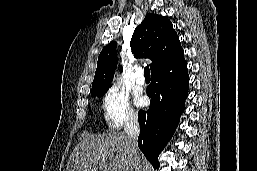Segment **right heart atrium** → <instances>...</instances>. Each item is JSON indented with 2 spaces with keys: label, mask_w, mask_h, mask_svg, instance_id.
<instances>
[{
  "label": "right heart atrium",
  "mask_w": 257,
  "mask_h": 171,
  "mask_svg": "<svg viewBox=\"0 0 257 171\" xmlns=\"http://www.w3.org/2000/svg\"><path fill=\"white\" fill-rule=\"evenodd\" d=\"M101 108L103 120L111 129H119L138 120L128 94L118 88H112L104 94Z\"/></svg>",
  "instance_id": "1"
}]
</instances>
